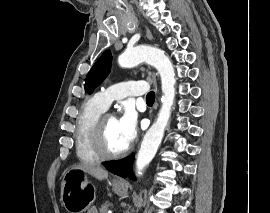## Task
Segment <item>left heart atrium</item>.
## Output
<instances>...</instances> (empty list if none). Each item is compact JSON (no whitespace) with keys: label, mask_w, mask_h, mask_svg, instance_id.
<instances>
[{"label":"left heart atrium","mask_w":270,"mask_h":213,"mask_svg":"<svg viewBox=\"0 0 270 213\" xmlns=\"http://www.w3.org/2000/svg\"><path fill=\"white\" fill-rule=\"evenodd\" d=\"M119 131L126 147L130 146L137 136V118L132 108L126 107L117 120Z\"/></svg>","instance_id":"39dd6f15"}]
</instances>
